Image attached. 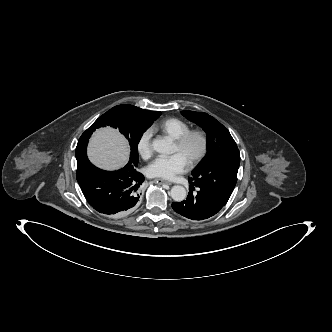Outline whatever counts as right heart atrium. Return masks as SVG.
I'll return each instance as SVG.
<instances>
[{
  "mask_svg": "<svg viewBox=\"0 0 332 332\" xmlns=\"http://www.w3.org/2000/svg\"><path fill=\"white\" fill-rule=\"evenodd\" d=\"M151 138H152L151 129L145 130L138 138L137 151L139 155L144 159H148L152 154Z\"/></svg>",
  "mask_w": 332,
  "mask_h": 332,
  "instance_id": "right-heart-atrium-1",
  "label": "right heart atrium"
}]
</instances>
